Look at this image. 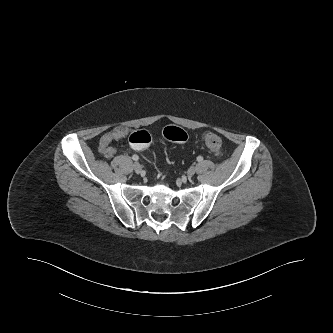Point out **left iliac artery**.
Here are the masks:
<instances>
[{
    "mask_svg": "<svg viewBox=\"0 0 333 333\" xmlns=\"http://www.w3.org/2000/svg\"><path fill=\"white\" fill-rule=\"evenodd\" d=\"M197 161H198V162L203 161V157H202V156H198V157H197Z\"/></svg>",
    "mask_w": 333,
    "mask_h": 333,
    "instance_id": "left-iliac-artery-1",
    "label": "left iliac artery"
}]
</instances>
